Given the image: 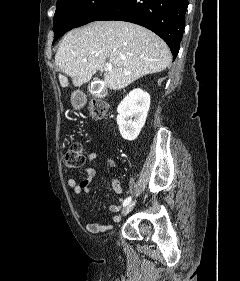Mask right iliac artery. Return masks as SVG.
I'll return each instance as SVG.
<instances>
[{
    "mask_svg": "<svg viewBox=\"0 0 240 281\" xmlns=\"http://www.w3.org/2000/svg\"><path fill=\"white\" fill-rule=\"evenodd\" d=\"M130 201H131V197L126 198L123 202V206L128 205L130 203Z\"/></svg>",
    "mask_w": 240,
    "mask_h": 281,
    "instance_id": "obj_1",
    "label": "right iliac artery"
}]
</instances>
